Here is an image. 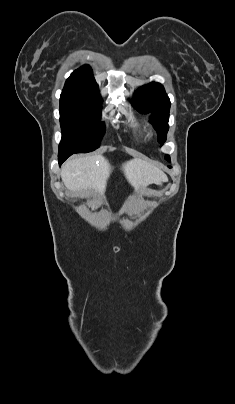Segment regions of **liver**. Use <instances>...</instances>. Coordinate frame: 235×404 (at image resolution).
<instances>
[{"label":"liver","mask_w":235,"mask_h":404,"mask_svg":"<svg viewBox=\"0 0 235 404\" xmlns=\"http://www.w3.org/2000/svg\"><path fill=\"white\" fill-rule=\"evenodd\" d=\"M122 170L135 191L168 179L161 169L139 158L123 163ZM111 172L112 166L104 156L93 155L67 161L62 167L61 178L72 192L84 195L88 190H93L104 195Z\"/></svg>","instance_id":"1"}]
</instances>
